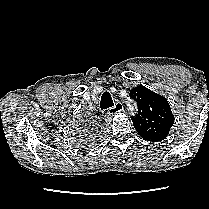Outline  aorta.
<instances>
[{
  "label": "aorta",
  "mask_w": 209,
  "mask_h": 209,
  "mask_svg": "<svg viewBox=\"0 0 209 209\" xmlns=\"http://www.w3.org/2000/svg\"><path fill=\"white\" fill-rule=\"evenodd\" d=\"M126 104H127L128 107L132 108V102L131 101L127 100Z\"/></svg>",
  "instance_id": "obj_1"
}]
</instances>
